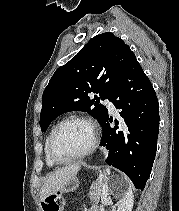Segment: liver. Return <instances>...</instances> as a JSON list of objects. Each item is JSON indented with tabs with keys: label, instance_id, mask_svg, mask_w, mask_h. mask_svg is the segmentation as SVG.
<instances>
[{
	"label": "liver",
	"instance_id": "1",
	"mask_svg": "<svg viewBox=\"0 0 179 211\" xmlns=\"http://www.w3.org/2000/svg\"><path fill=\"white\" fill-rule=\"evenodd\" d=\"M79 169L80 164H73L51 173L40 190L41 201L60 191L71 178L75 177Z\"/></svg>",
	"mask_w": 179,
	"mask_h": 211
}]
</instances>
